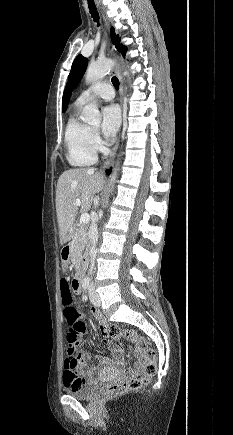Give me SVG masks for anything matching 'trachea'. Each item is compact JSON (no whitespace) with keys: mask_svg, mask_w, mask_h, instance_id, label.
<instances>
[{"mask_svg":"<svg viewBox=\"0 0 233 435\" xmlns=\"http://www.w3.org/2000/svg\"><path fill=\"white\" fill-rule=\"evenodd\" d=\"M88 7H89V11L90 14L92 16V18L94 19V22H99V15H98V11L97 8L95 6V3L93 2V0H88ZM113 86L115 87V89H119V80L117 77H112L111 79Z\"/></svg>","mask_w":233,"mask_h":435,"instance_id":"3493384b","label":"trachea"}]
</instances>
